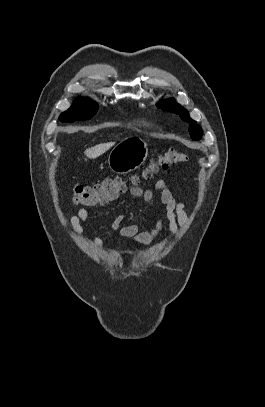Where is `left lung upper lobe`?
Segmentation results:
<instances>
[{"label": "left lung upper lobe", "mask_w": 265, "mask_h": 407, "mask_svg": "<svg viewBox=\"0 0 265 407\" xmlns=\"http://www.w3.org/2000/svg\"><path fill=\"white\" fill-rule=\"evenodd\" d=\"M158 107H160L166 111H170V112L179 114L180 117L182 118V120L190 123L189 133H190L191 138L194 140L200 139V137L202 136V130H201L200 126H198L196 124V122L189 117V113L186 109H184V107H182L180 104L176 103L175 101H173L171 99L160 102L158 104Z\"/></svg>", "instance_id": "left-lung-upper-lobe-1"}]
</instances>
